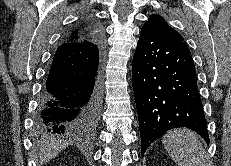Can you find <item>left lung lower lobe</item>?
Returning <instances> with one entry per match:
<instances>
[{
  "mask_svg": "<svg viewBox=\"0 0 231 166\" xmlns=\"http://www.w3.org/2000/svg\"><path fill=\"white\" fill-rule=\"evenodd\" d=\"M141 152L168 130L188 127L209 141L194 62L186 44L142 28L133 57Z\"/></svg>",
  "mask_w": 231,
  "mask_h": 166,
  "instance_id": "1",
  "label": "left lung lower lobe"
}]
</instances>
